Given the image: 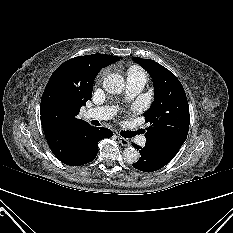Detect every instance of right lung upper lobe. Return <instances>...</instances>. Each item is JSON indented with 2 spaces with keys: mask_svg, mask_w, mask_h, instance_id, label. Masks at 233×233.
I'll use <instances>...</instances> for the list:
<instances>
[{
  "mask_svg": "<svg viewBox=\"0 0 233 233\" xmlns=\"http://www.w3.org/2000/svg\"><path fill=\"white\" fill-rule=\"evenodd\" d=\"M120 59L105 54L78 56L65 61L53 72L40 105L41 124L53 154L67 151L77 134L90 126L77 118L80 108L91 99L98 72Z\"/></svg>",
  "mask_w": 233,
  "mask_h": 233,
  "instance_id": "obj_1",
  "label": "right lung upper lobe"
}]
</instances>
